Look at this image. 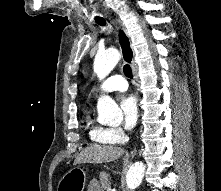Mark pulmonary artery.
Returning a JSON list of instances; mask_svg holds the SVG:
<instances>
[{"label":"pulmonary artery","instance_id":"1","mask_svg":"<svg viewBox=\"0 0 221 191\" xmlns=\"http://www.w3.org/2000/svg\"><path fill=\"white\" fill-rule=\"evenodd\" d=\"M128 88V83L123 76L116 75L108 78L100 86L98 93L104 94L112 91H125Z\"/></svg>","mask_w":221,"mask_h":191}]
</instances>
